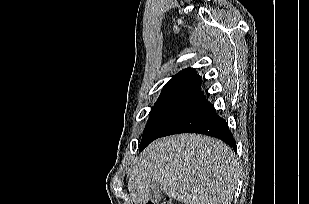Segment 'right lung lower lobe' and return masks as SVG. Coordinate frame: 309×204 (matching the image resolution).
I'll return each instance as SVG.
<instances>
[{"label":"right lung lower lobe","instance_id":"obj_1","mask_svg":"<svg viewBox=\"0 0 309 204\" xmlns=\"http://www.w3.org/2000/svg\"><path fill=\"white\" fill-rule=\"evenodd\" d=\"M178 133H200L216 137L236 150L235 139L226 121L215 113L214 106L208 101L183 115L159 137Z\"/></svg>","mask_w":309,"mask_h":204}]
</instances>
